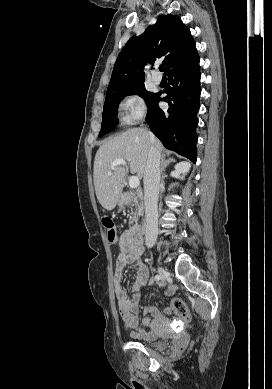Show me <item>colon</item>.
<instances>
[{
    "instance_id": "5ec220e1",
    "label": "colon",
    "mask_w": 272,
    "mask_h": 389,
    "mask_svg": "<svg viewBox=\"0 0 272 389\" xmlns=\"http://www.w3.org/2000/svg\"><path fill=\"white\" fill-rule=\"evenodd\" d=\"M104 227L106 229L107 239L110 243L114 244L118 240V235L114 222L110 218L103 220ZM171 311L177 315L184 322H190L192 317L187 304L180 298H173L170 305Z\"/></svg>"
}]
</instances>
